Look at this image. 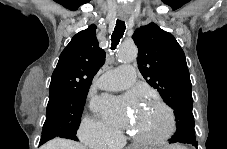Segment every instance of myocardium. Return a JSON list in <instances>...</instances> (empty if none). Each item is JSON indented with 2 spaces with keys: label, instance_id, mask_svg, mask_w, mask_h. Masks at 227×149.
<instances>
[{
  "label": "myocardium",
  "instance_id": "myocardium-1",
  "mask_svg": "<svg viewBox=\"0 0 227 149\" xmlns=\"http://www.w3.org/2000/svg\"><path fill=\"white\" fill-rule=\"evenodd\" d=\"M148 102H151L155 105L160 106L166 113L167 119H168V126L167 129L165 130L164 133L158 135V136H152V137H143V136H138L134 134L133 132L130 134L131 138L133 139L134 142L140 144V145H149V146H154V145H160L167 141L175 132L176 130V120H175V115L172 110V108L165 103L163 100L159 98H150Z\"/></svg>",
  "mask_w": 227,
  "mask_h": 149
}]
</instances>
